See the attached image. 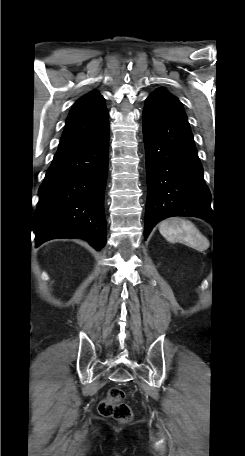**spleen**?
Wrapping results in <instances>:
<instances>
[{
  "instance_id": "obj_1",
  "label": "spleen",
  "mask_w": 245,
  "mask_h": 456,
  "mask_svg": "<svg viewBox=\"0 0 245 456\" xmlns=\"http://www.w3.org/2000/svg\"><path fill=\"white\" fill-rule=\"evenodd\" d=\"M159 231L170 242L182 241L199 250L209 246L208 240L189 220L179 217L166 219L160 223Z\"/></svg>"
}]
</instances>
